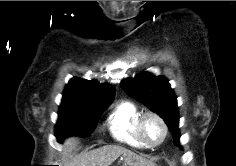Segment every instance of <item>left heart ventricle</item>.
I'll return each mask as SVG.
<instances>
[{
    "label": "left heart ventricle",
    "mask_w": 236,
    "mask_h": 166,
    "mask_svg": "<svg viewBox=\"0 0 236 166\" xmlns=\"http://www.w3.org/2000/svg\"><path fill=\"white\" fill-rule=\"evenodd\" d=\"M143 132L150 143H157L163 136L161 124L153 117H148L145 120Z\"/></svg>",
    "instance_id": "left-heart-ventricle-1"
}]
</instances>
